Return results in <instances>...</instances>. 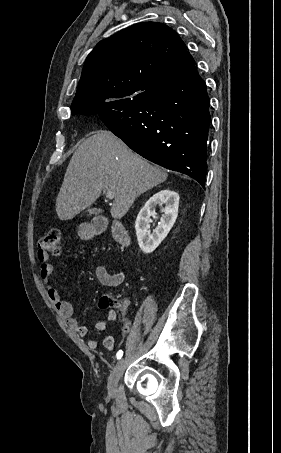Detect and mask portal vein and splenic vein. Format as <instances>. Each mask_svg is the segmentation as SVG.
Masks as SVG:
<instances>
[{
  "instance_id": "18ae733b",
  "label": "portal vein and splenic vein",
  "mask_w": 281,
  "mask_h": 453,
  "mask_svg": "<svg viewBox=\"0 0 281 453\" xmlns=\"http://www.w3.org/2000/svg\"><path fill=\"white\" fill-rule=\"evenodd\" d=\"M115 194L112 192V190H107L106 192V198H114Z\"/></svg>"
}]
</instances>
